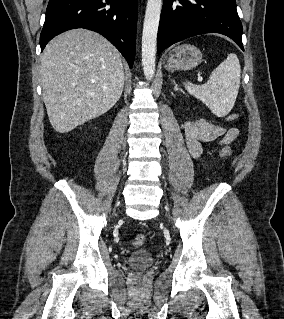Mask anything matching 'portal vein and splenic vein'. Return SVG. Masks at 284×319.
<instances>
[{
	"label": "portal vein and splenic vein",
	"mask_w": 284,
	"mask_h": 319,
	"mask_svg": "<svg viewBox=\"0 0 284 319\" xmlns=\"http://www.w3.org/2000/svg\"><path fill=\"white\" fill-rule=\"evenodd\" d=\"M198 81H199V82L202 81V77H201V76L198 77Z\"/></svg>",
	"instance_id": "1"
}]
</instances>
